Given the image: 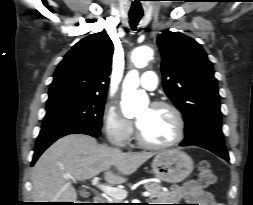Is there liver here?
<instances>
[{
	"label": "liver",
	"mask_w": 253,
	"mask_h": 205,
	"mask_svg": "<svg viewBox=\"0 0 253 205\" xmlns=\"http://www.w3.org/2000/svg\"><path fill=\"white\" fill-rule=\"evenodd\" d=\"M154 155L152 152H122L100 145L84 134L58 139L38 159L32 169V199L35 202H74L77 193L72 181L88 180L100 173L111 185L123 184ZM114 166L118 174L110 168Z\"/></svg>",
	"instance_id": "6515ba94"
}]
</instances>
